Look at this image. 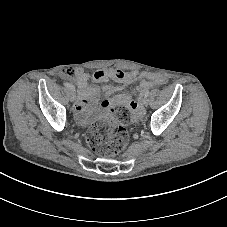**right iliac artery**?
Returning a JSON list of instances; mask_svg holds the SVG:
<instances>
[{"label": "right iliac artery", "mask_w": 227, "mask_h": 227, "mask_svg": "<svg viewBox=\"0 0 227 227\" xmlns=\"http://www.w3.org/2000/svg\"><path fill=\"white\" fill-rule=\"evenodd\" d=\"M64 86L69 88V89H71V90H73V91H75V87L72 84H70V83L66 82V83H64Z\"/></svg>", "instance_id": "82829eb1"}]
</instances>
